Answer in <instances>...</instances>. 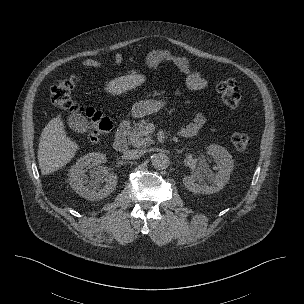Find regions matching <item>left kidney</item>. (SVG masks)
I'll return each instance as SVG.
<instances>
[{"instance_id":"left-kidney-1","label":"left kidney","mask_w":304,"mask_h":304,"mask_svg":"<svg viewBox=\"0 0 304 304\" xmlns=\"http://www.w3.org/2000/svg\"><path fill=\"white\" fill-rule=\"evenodd\" d=\"M207 151L214 158L218 172L213 174L205 160L199 157L193 175L183 178V184L193 193L213 194L220 191L229 181L230 174L233 171L232 156L224 147L211 144L207 147Z\"/></svg>"}]
</instances>
